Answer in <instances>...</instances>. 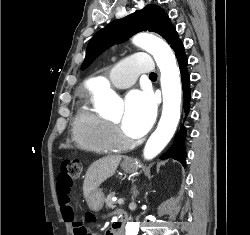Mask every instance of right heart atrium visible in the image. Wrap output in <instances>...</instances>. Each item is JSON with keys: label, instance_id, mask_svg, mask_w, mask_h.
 Here are the masks:
<instances>
[{"label": "right heart atrium", "instance_id": "right-heart-atrium-1", "mask_svg": "<svg viewBox=\"0 0 250 235\" xmlns=\"http://www.w3.org/2000/svg\"><path fill=\"white\" fill-rule=\"evenodd\" d=\"M114 133H115V136L119 139V140H121V137H120V135H119V133L114 129Z\"/></svg>", "mask_w": 250, "mask_h": 235}]
</instances>
